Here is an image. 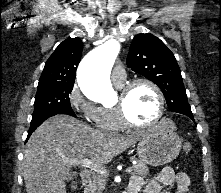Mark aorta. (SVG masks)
<instances>
[{
    "label": "aorta",
    "mask_w": 221,
    "mask_h": 193,
    "mask_svg": "<svg viewBox=\"0 0 221 193\" xmlns=\"http://www.w3.org/2000/svg\"><path fill=\"white\" fill-rule=\"evenodd\" d=\"M119 52V43L107 41L92 50L81 61L77 81L82 92L91 100L105 102L115 92L109 79V70Z\"/></svg>",
    "instance_id": "obj_1"
}]
</instances>
